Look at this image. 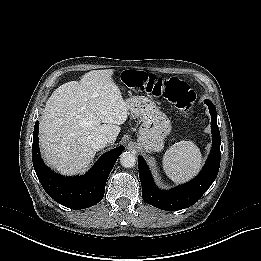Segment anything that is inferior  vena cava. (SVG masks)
<instances>
[{"mask_svg": "<svg viewBox=\"0 0 261 261\" xmlns=\"http://www.w3.org/2000/svg\"><path fill=\"white\" fill-rule=\"evenodd\" d=\"M92 143H93V148L96 151H99V150L105 148L109 144V139L105 135H99L93 139Z\"/></svg>", "mask_w": 261, "mask_h": 261, "instance_id": "1", "label": "inferior vena cava"}]
</instances>
